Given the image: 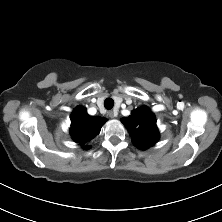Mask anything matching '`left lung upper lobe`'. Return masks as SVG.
Returning a JSON list of instances; mask_svg holds the SVG:
<instances>
[{"mask_svg":"<svg viewBox=\"0 0 222 222\" xmlns=\"http://www.w3.org/2000/svg\"><path fill=\"white\" fill-rule=\"evenodd\" d=\"M121 121L130 132L134 145L139 149H147L158 141L156 118L148 107L135 109L129 117L122 118Z\"/></svg>","mask_w":222,"mask_h":222,"instance_id":"left-lung-upper-lobe-1","label":"left lung upper lobe"}]
</instances>
